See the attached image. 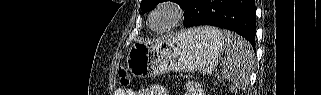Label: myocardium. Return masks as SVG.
<instances>
[{
  "mask_svg": "<svg viewBox=\"0 0 321 95\" xmlns=\"http://www.w3.org/2000/svg\"><path fill=\"white\" fill-rule=\"evenodd\" d=\"M184 19V11L177 1H162L153 8L147 20L148 28L157 33H167L175 29ZM163 20V24L156 23Z\"/></svg>",
  "mask_w": 321,
  "mask_h": 95,
  "instance_id": "1",
  "label": "myocardium"
}]
</instances>
